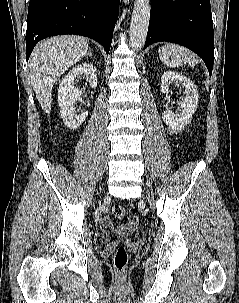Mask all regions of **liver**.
I'll return each mask as SVG.
<instances>
[{
	"label": "liver",
	"instance_id": "1",
	"mask_svg": "<svg viewBox=\"0 0 239 303\" xmlns=\"http://www.w3.org/2000/svg\"><path fill=\"white\" fill-rule=\"evenodd\" d=\"M88 54V39L63 35L39 42L30 57L31 85L43 111H51L52 88L58 77Z\"/></svg>",
	"mask_w": 239,
	"mask_h": 303
}]
</instances>
